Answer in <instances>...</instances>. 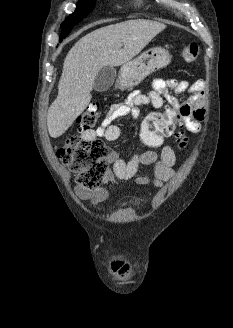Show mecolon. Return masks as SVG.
Here are the masks:
<instances>
[{"mask_svg": "<svg viewBox=\"0 0 233 328\" xmlns=\"http://www.w3.org/2000/svg\"><path fill=\"white\" fill-rule=\"evenodd\" d=\"M186 63H193L200 57L196 43L186 46L181 52ZM100 116L97 103L90 104L78 117L77 124L82 131L92 130ZM184 126L181 115L175 110L155 112L146 117L141 129V140L150 148H158L165 137H174L179 147L186 145V135L179 130ZM57 156L63 165L76 174L77 183L89 191L99 189L108 172L107 149L100 140H85L81 136H70L58 148Z\"/></svg>", "mask_w": 233, "mask_h": 328, "instance_id": "colon-1", "label": "colon"}]
</instances>
